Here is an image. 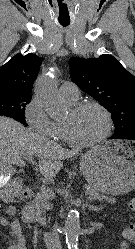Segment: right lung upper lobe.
Listing matches in <instances>:
<instances>
[{
	"mask_svg": "<svg viewBox=\"0 0 135 249\" xmlns=\"http://www.w3.org/2000/svg\"><path fill=\"white\" fill-rule=\"evenodd\" d=\"M42 59L32 53L16 54L0 67V93L31 95Z\"/></svg>",
	"mask_w": 135,
	"mask_h": 249,
	"instance_id": "right-lung-upper-lobe-1",
	"label": "right lung upper lobe"
}]
</instances>
